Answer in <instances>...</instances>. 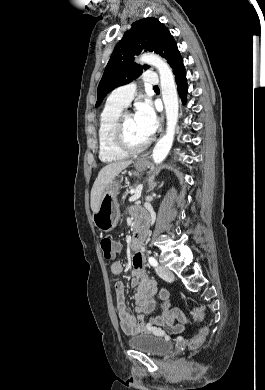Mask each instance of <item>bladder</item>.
Masks as SVG:
<instances>
[{
    "label": "bladder",
    "mask_w": 265,
    "mask_h": 390,
    "mask_svg": "<svg viewBox=\"0 0 265 390\" xmlns=\"http://www.w3.org/2000/svg\"><path fill=\"white\" fill-rule=\"evenodd\" d=\"M128 345L132 349L154 356H161L172 348L171 343L164 338L148 334H141L130 338Z\"/></svg>",
    "instance_id": "obj_1"
}]
</instances>
